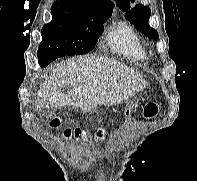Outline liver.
<instances>
[{"mask_svg": "<svg viewBox=\"0 0 197 181\" xmlns=\"http://www.w3.org/2000/svg\"><path fill=\"white\" fill-rule=\"evenodd\" d=\"M71 86L70 93L64 88ZM147 81L135 69L108 57L85 56L57 64L42 84L37 108L75 106L92 112L98 105L121 104L143 90Z\"/></svg>", "mask_w": 197, "mask_h": 181, "instance_id": "6515ba94", "label": "liver"}]
</instances>
